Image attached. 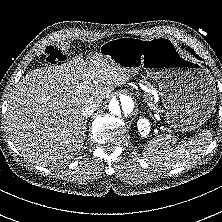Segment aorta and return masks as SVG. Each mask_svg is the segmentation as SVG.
<instances>
[{
  "label": "aorta",
  "instance_id": "762f6f07",
  "mask_svg": "<svg viewBox=\"0 0 222 222\" xmlns=\"http://www.w3.org/2000/svg\"><path fill=\"white\" fill-rule=\"evenodd\" d=\"M109 112L117 119H123L133 114L135 103L130 95L122 94L119 99L112 98L108 105Z\"/></svg>",
  "mask_w": 222,
  "mask_h": 222
}]
</instances>
